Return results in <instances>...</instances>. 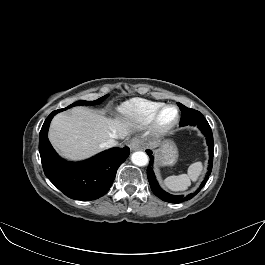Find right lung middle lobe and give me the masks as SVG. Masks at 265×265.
Wrapping results in <instances>:
<instances>
[{
  "label": "right lung middle lobe",
  "mask_w": 265,
  "mask_h": 265,
  "mask_svg": "<svg viewBox=\"0 0 265 265\" xmlns=\"http://www.w3.org/2000/svg\"><path fill=\"white\" fill-rule=\"evenodd\" d=\"M107 97L106 96H103L95 101H77V102H74L73 104L69 105L68 107L66 108H63V109H59V111H63V110H66L68 108H71V107H74V106H82V105H96V104H99L101 103L105 98Z\"/></svg>",
  "instance_id": "obj_1"
}]
</instances>
